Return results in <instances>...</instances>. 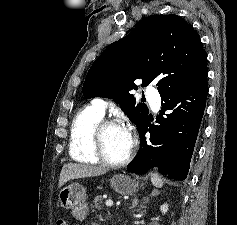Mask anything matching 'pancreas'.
Wrapping results in <instances>:
<instances>
[{"mask_svg": "<svg viewBox=\"0 0 237 225\" xmlns=\"http://www.w3.org/2000/svg\"><path fill=\"white\" fill-rule=\"evenodd\" d=\"M102 201L103 198L101 195H98L94 198L93 204L91 205L93 211H95V209H101Z\"/></svg>", "mask_w": 237, "mask_h": 225, "instance_id": "cf45deb5", "label": "pancreas"}]
</instances>
